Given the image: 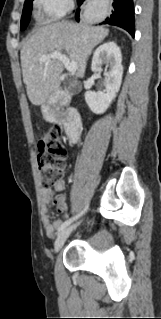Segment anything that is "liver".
<instances>
[{"label": "liver", "mask_w": 161, "mask_h": 319, "mask_svg": "<svg viewBox=\"0 0 161 319\" xmlns=\"http://www.w3.org/2000/svg\"><path fill=\"white\" fill-rule=\"evenodd\" d=\"M108 33L109 29L103 26L69 22L52 23L36 30L21 49L23 81L30 102L42 105L60 87L63 63L58 59L40 61L41 56L64 50L77 63L79 77H83L88 56Z\"/></svg>", "instance_id": "1"}]
</instances>
